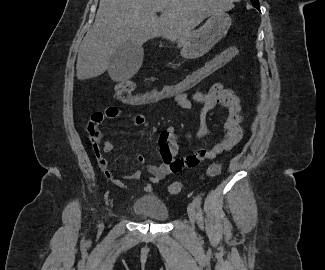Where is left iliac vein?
Instances as JSON below:
<instances>
[{
  "label": "left iliac vein",
  "instance_id": "1",
  "mask_svg": "<svg viewBox=\"0 0 325 270\" xmlns=\"http://www.w3.org/2000/svg\"><path fill=\"white\" fill-rule=\"evenodd\" d=\"M187 212H188L190 222L194 226V222H195V219H196V206H195L194 203H190L188 205Z\"/></svg>",
  "mask_w": 325,
  "mask_h": 270
}]
</instances>
